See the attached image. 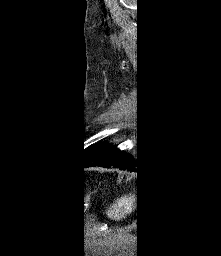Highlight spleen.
Here are the masks:
<instances>
[{
    "mask_svg": "<svg viewBox=\"0 0 221 256\" xmlns=\"http://www.w3.org/2000/svg\"><path fill=\"white\" fill-rule=\"evenodd\" d=\"M133 193L125 194L116 199L113 205L106 211L107 216L112 220H121L134 210Z\"/></svg>",
    "mask_w": 221,
    "mask_h": 256,
    "instance_id": "3e777b00",
    "label": "spleen"
}]
</instances>
